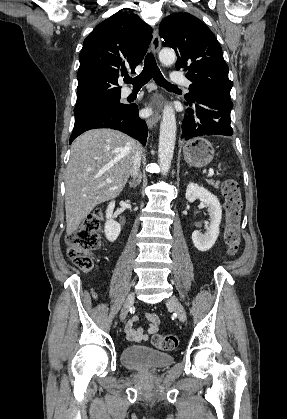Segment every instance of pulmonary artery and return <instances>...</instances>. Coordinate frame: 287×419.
Returning <instances> with one entry per match:
<instances>
[{"instance_id":"e3ab8cb5","label":"pulmonary artery","mask_w":287,"mask_h":419,"mask_svg":"<svg viewBox=\"0 0 287 419\" xmlns=\"http://www.w3.org/2000/svg\"><path fill=\"white\" fill-rule=\"evenodd\" d=\"M170 80L173 84H180L184 86H189L190 82L189 80L180 72L174 71L171 76ZM124 96H129L132 94L131 89H125L124 90Z\"/></svg>"}]
</instances>
